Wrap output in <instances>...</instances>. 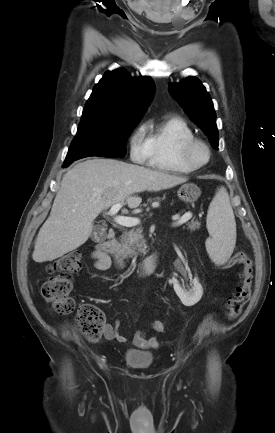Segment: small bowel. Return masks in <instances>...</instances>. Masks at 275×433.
Returning <instances> with one entry per match:
<instances>
[{
  "label": "small bowel",
  "mask_w": 275,
  "mask_h": 433,
  "mask_svg": "<svg viewBox=\"0 0 275 433\" xmlns=\"http://www.w3.org/2000/svg\"><path fill=\"white\" fill-rule=\"evenodd\" d=\"M92 258L95 261V267L98 270H106L110 267L111 261L109 258L103 256L97 250L92 251ZM119 324L115 326L105 324L103 326L104 337L108 340H116L120 343H127L128 339L118 331ZM132 344L142 349H156L159 347V342L155 337H148L143 332H137L133 337Z\"/></svg>",
  "instance_id": "small-bowel-1"
}]
</instances>
